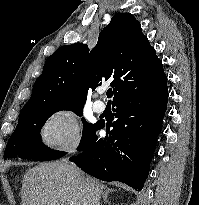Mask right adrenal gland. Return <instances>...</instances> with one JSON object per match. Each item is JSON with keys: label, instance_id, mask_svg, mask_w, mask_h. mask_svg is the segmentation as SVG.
<instances>
[{"label": "right adrenal gland", "instance_id": "1", "mask_svg": "<svg viewBox=\"0 0 199 205\" xmlns=\"http://www.w3.org/2000/svg\"><path fill=\"white\" fill-rule=\"evenodd\" d=\"M113 191H114L113 189H109V188L105 189V193L103 194V201H104V203H108V199H107L108 194L113 192Z\"/></svg>", "mask_w": 199, "mask_h": 205}]
</instances>
